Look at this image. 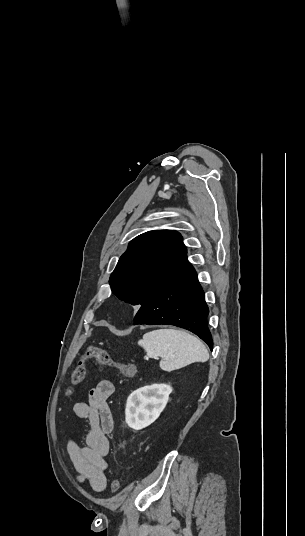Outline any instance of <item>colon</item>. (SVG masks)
Here are the masks:
<instances>
[{"mask_svg": "<svg viewBox=\"0 0 305 536\" xmlns=\"http://www.w3.org/2000/svg\"><path fill=\"white\" fill-rule=\"evenodd\" d=\"M86 357L95 359L100 365L107 368L116 369L121 375L127 378H133L137 375V367L130 362H124L114 360L103 348L98 345L92 344L86 351ZM85 356L79 360L78 364L74 367L71 373L70 388H73L81 384L86 377V365ZM120 482L117 479H113L111 483L112 492L118 491Z\"/></svg>", "mask_w": 305, "mask_h": 536, "instance_id": "1", "label": "colon"}]
</instances>
